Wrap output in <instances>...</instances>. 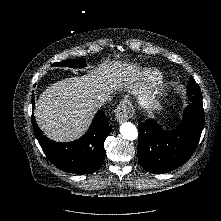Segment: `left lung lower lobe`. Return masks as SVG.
Returning <instances> with one entry per match:
<instances>
[{
	"label": "left lung lower lobe",
	"instance_id": "left-lung-lower-lobe-1",
	"mask_svg": "<svg viewBox=\"0 0 221 221\" xmlns=\"http://www.w3.org/2000/svg\"><path fill=\"white\" fill-rule=\"evenodd\" d=\"M179 128L164 131L153 119L138 124L139 164L151 173H166L185 163L196 149L204 127L202 98L191 100Z\"/></svg>",
	"mask_w": 221,
	"mask_h": 221
}]
</instances>
